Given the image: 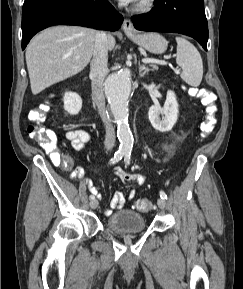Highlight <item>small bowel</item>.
I'll return each mask as SVG.
<instances>
[{
    "mask_svg": "<svg viewBox=\"0 0 243 289\" xmlns=\"http://www.w3.org/2000/svg\"><path fill=\"white\" fill-rule=\"evenodd\" d=\"M65 138L71 142L72 147L75 150H85L88 147V144L92 141V137L90 134L84 130L80 129H71L65 132ZM115 175L123 182H135L137 185H142L145 182V177L141 174H132L124 170L123 168L117 167L115 169ZM74 178H83V172L81 169H76L73 172ZM90 191L97 195L98 198H101V194L99 193V189L93 186L88 180ZM135 197V190H131L127 196H125L122 192L117 191L113 195L110 201L109 210L105 211L106 215H110L112 210H118L125 206L128 200H131Z\"/></svg>",
    "mask_w": 243,
    "mask_h": 289,
    "instance_id": "c3829d8e",
    "label": "small bowel"
}]
</instances>
